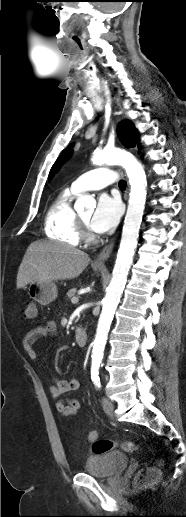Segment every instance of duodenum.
<instances>
[{
  "label": "duodenum",
  "mask_w": 186,
  "mask_h": 517,
  "mask_svg": "<svg viewBox=\"0 0 186 517\" xmlns=\"http://www.w3.org/2000/svg\"><path fill=\"white\" fill-rule=\"evenodd\" d=\"M75 339L80 347H85L88 342V335L84 328H78L75 331Z\"/></svg>",
  "instance_id": "duodenum-1"
}]
</instances>
